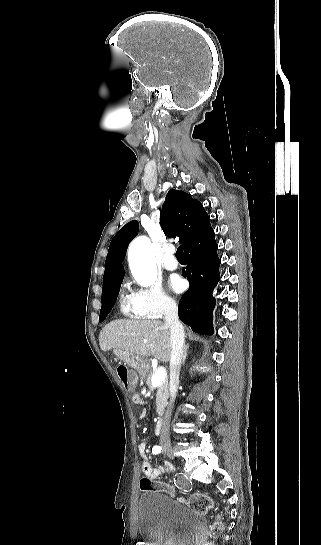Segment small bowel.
Listing matches in <instances>:
<instances>
[{"instance_id": "obj_1", "label": "small bowel", "mask_w": 321, "mask_h": 545, "mask_svg": "<svg viewBox=\"0 0 321 545\" xmlns=\"http://www.w3.org/2000/svg\"><path fill=\"white\" fill-rule=\"evenodd\" d=\"M132 400L135 404H141L142 398L138 393H135L132 397ZM143 416V413L140 417ZM139 456L141 460V469L145 476H148L151 479H155L161 475L170 474L173 471V466L169 463H165L156 468L152 467L150 461L147 457V443L141 442L138 446Z\"/></svg>"}]
</instances>
